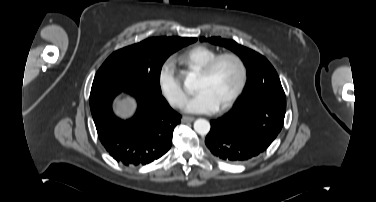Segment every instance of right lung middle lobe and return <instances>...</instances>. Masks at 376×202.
Segmentation results:
<instances>
[{
  "mask_svg": "<svg viewBox=\"0 0 376 202\" xmlns=\"http://www.w3.org/2000/svg\"><path fill=\"white\" fill-rule=\"evenodd\" d=\"M196 38L157 37L115 51L95 75L92 88L103 85H142L161 93L160 72L165 60Z\"/></svg>",
  "mask_w": 376,
  "mask_h": 202,
  "instance_id": "right-lung-middle-lobe-1",
  "label": "right lung middle lobe"
}]
</instances>
